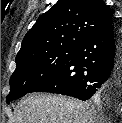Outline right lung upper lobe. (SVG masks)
Returning <instances> with one entry per match:
<instances>
[{
	"label": "right lung upper lobe",
	"instance_id": "obj_1",
	"mask_svg": "<svg viewBox=\"0 0 122 123\" xmlns=\"http://www.w3.org/2000/svg\"><path fill=\"white\" fill-rule=\"evenodd\" d=\"M112 15L101 0H58L25 35L16 61L61 49H77Z\"/></svg>",
	"mask_w": 122,
	"mask_h": 123
}]
</instances>
